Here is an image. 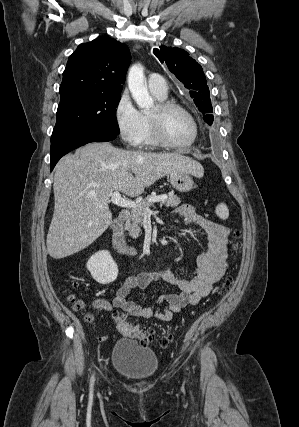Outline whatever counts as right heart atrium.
Returning <instances> with one entry per match:
<instances>
[{
    "mask_svg": "<svg viewBox=\"0 0 299 427\" xmlns=\"http://www.w3.org/2000/svg\"><path fill=\"white\" fill-rule=\"evenodd\" d=\"M114 120L122 141L129 146L139 145L144 128L143 117L128 91H123L116 102Z\"/></svg>",
    "mask_w": 299,
    "mask_h": 427,
    "instance_id": "right-heart-atrium-1",
    "label": "right heart atrium"
}]
</instances>
